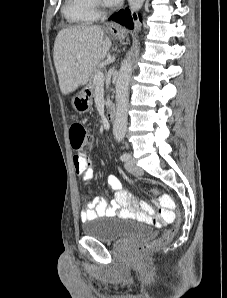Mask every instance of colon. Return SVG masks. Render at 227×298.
Wrapping results in <instances>:
<instances>
[{"label":"colon","mask_w":227,"mask_h":298,"mask_svg":"<svg viewBox=\"0 0 227 298\" xmlns=\"http://www.w3.org/2000/svg\"><path fill=\"white\" fill-rule=\"evenodd\" d=\"M70 141L73 149L75 150H87L89 151L92 147L93 137L87 126L80 122H75L70 126ZM153 194L158 195V189H153ZM160 202L164 206L165 210V218L169 221H173L176 219V225L167 230L160 238L142 244L139 247V251L143 254L148 253L150 251L157 250L166 244H168L175 236L177 232V226L179 224V216L175 213V205L172 199L168 195H160ZM154 224H161V220H152Z\"/></svg>","instance_id":"5ec220e1"}]
</instances>
